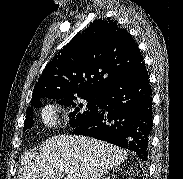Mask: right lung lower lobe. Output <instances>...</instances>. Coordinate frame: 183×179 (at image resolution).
Here are the masks:
<instances>
[{
    "instance_id": "obj_1",
    "label": "right lung lower lobe",
    "mask_w": 183,
    "mask_h": 179,
    "mask_svg": "<svg viewBox=\"0 0 183 179\" xmlns=\"http://www.w3.org/2000/svg\"><path fill=\"white\" fill-rule=\"evenodd\" d=\"M152 114V89L143 64L134 74L103 89L99 94L97 113L76 127L73 134L93 137L132 150L146 161Z\"/></svg>"
}]
</instances>
